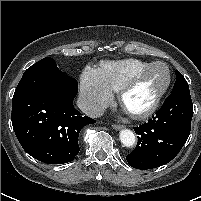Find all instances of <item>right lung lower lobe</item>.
<instances>
[{
	"instance_id": "obj_1",
	"label": "right lung lower lobe",
	"mask_w": 201,
	"mask_h": 201,
	"mask_svg": "<svg viewBox=\"0 0 201 201\" xmlns=\"http://www.w3.org/2000/svg\"><path fill=\"white\" fill-rule=\"evenodd\" d=\"M77 81L59 69H27L12 99L11 121L23 149L47 164L70 162L79 153L78 136L96 121L73 106Z\"/></svg>"
}]
</instances>
